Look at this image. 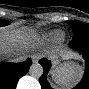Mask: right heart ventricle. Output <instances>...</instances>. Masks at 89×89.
Returning <instances> with one entry per match:
<instances>
[{
  "label": "right heart ventricle",
  "mask_w": 89,
  "mask_h": 89,
  "mask_svg": "<svg viewBox=\"0 0 89 89\" xmlns=\"http://www.w3.org/2000/svg\"><path fill=\"white\" fill-rule=\"evenodd\" d=\"M63 37V33L61 31H55L50 35V38L53 40H60Z\"/></svg>",
  "instance_id": "e07e8e85"
}]
</instances>
